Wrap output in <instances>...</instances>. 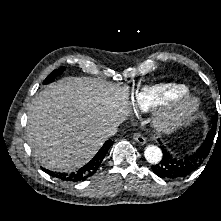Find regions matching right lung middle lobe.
<instances>
[{"label":"right lung middle lobe","instance_id":"dd1d6c3e","mask_svg":"<svg viewBox=\"0 0 221 221\" xmlns=\"http://www.w3.org/2000/svg\"><path fill=\"white\" fill-rule=\"evenodd\" d=\"M65 70V67H61L58 70H54L53 72L48 75V77L44 80L43 84H48L49 82H52L57 74H60L62 71Z\"/></svg>","mask_w":221,"mask_h":221}]
</instances>
